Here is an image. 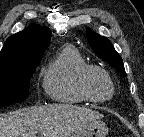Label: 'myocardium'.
<instances>
[{
    "instance_id": "1",
    "label": "myocardium",
    "mask_w": 144,
    "mask_h": 137,
    "mask_svg": "<svg viewBox=\"0 0 144 137\" xmlns=\"http://www.w3.org/2000/svg\"><path fill=\"white\" fill-rule=\"evenodd\" d=\"M93 73H99L107 79V81L109 82L111 86V93L109 96L97 97L93 94L89 86L90 77ZM78 86H79L81 93L89 101L97 102V103H103V102H107L111 100L114 97L115 91H116L115 82L112 76L110 75V73L106 69L98 65H88L81 71L79 75Z\"/></svg>"
}]
</instances>
